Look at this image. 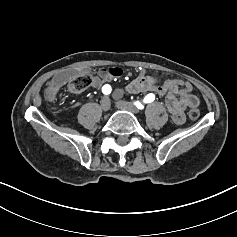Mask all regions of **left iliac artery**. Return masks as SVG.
<instances>
[{"mask_svg":"<svg viewBox=\"0 0 237 237\" xmlns=\"http://www.w3.org/2000/svg\"><path fill=\"white\" fill-rule=\"evenodd\" d=\"M154 99H155V95L152 94V93H150V94H148V95L144 98L143 101H144L145 103H151V102L154 101ZM134 105H135L138 109H143V108H144V106H143L139 101L134 102Z\"/></svg>","mask_w":237,"mask_h":237,"instance_id":"44dca946","label":"left iliac artery"}]
</instances>
